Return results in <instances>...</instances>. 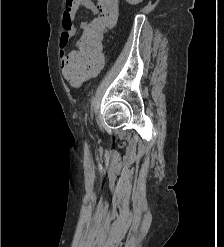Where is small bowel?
<instances>
[{"instance_id":"c3829d8e","label":"small bowel","mask_w":224,"mask_h":247,"mask_svg":"<svg viewBox=\"0 0 224 247\" xmlns=\"http://www.w3.org/2000/svg\"><path fill=\"white\" fill-rule=\"evenodd\" d=\"M74 5L72 9L67 12L63 11L62 15V28L63 31L59 37V47L61 58L65 61L68 57L64 56V49L68 45L71 37L76 33V27L74 25L75 14L80 7H84L89 10L93 15L97 14L98 8L93 0H74ZM88 22H82L81 28L85 29L88 26Z\"/></svg>"}]
</instances>
